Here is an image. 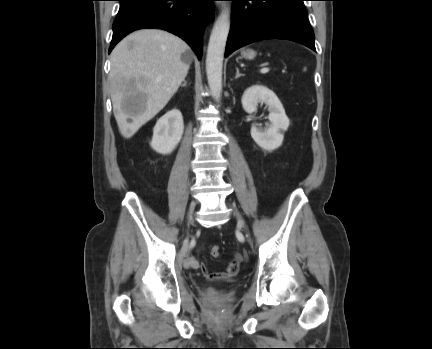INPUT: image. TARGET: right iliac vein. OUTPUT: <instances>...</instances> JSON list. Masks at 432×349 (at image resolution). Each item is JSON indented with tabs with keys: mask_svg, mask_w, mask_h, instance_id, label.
<instances>
[{
	"mask_svg": "<svg viewBox=\"0 0 432 349\" xmlns=\"http://www.w3.org/2000/svg\"><path fill=\"white\" fill-rule=\"evenodd\" d=\"M195 206H196V202L192 201L189 207V214H188L189 219H191L192 217V213L194 211Z\"/></svg>",
	"mask_w": 432,
	"mask_h": 349,
	"instance_id": "63e3f726",
	"label": "right iliac vein"
}]
</instances>
